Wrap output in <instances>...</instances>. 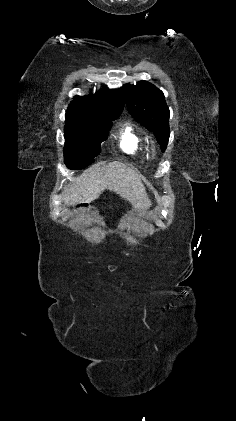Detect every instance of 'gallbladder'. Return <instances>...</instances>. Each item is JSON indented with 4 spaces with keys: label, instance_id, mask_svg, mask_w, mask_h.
<instances>
[{
    "label": "gallbladder",
    "instance_id": "obj_1",
    "mask_svg": "<svg viewBox=\"0 0 236 421\" xmlns=\"http://www.w3.org/2000/svg\"><path fill=\"white\" fill-rule=\"evenodd\" d=\"M63 206H68V204H63Z\"/></svg>",
    "mask_w": 236,
    "mask_h": 421
}]
</instances>
